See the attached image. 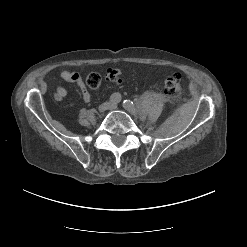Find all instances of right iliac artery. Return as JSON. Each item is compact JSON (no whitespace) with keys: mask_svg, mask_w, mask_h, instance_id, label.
I'll return each instance as SVG.
<instances>
[{"mask_svg":"<svg viewBox=\"0 0 247 247\" xmlns=\"http://www.w3.org/2000/svg\"><path fill=\"white\" fill-rule=\"evenodd\" d=\"M121 95L119 93H113L110 97L112 103H119L121 101Z\"/></svg>","mask_w":247,"mask_h":247,"instance_id":"1","label":"right iliac artery"}]
</instances>
